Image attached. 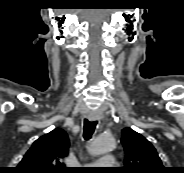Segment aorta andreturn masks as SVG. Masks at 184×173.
Returning a JSON list of instances; mask_svg holds the SVG:
<instances>
[{"mask_svg":"<svg viewBox=\"0 0 184 173\" xmlns=\"http://www.w3.org/2000/svg\"><path fill=\"white\" fill-rule=\"evenodd\" d=\"M115 148V139L111 134H103L96 137L88 150L92 155H101L111 152Z\"/></svg>","mask_w":184,"mask_h":173,"instance_id":"762f6f07","label":"aorta"}]
</instances>
